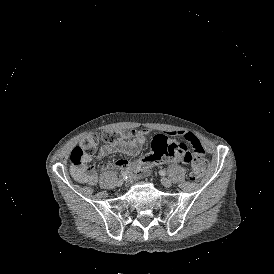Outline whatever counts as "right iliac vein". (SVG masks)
<instances>
[{"mask_svg":"<svg viewBox=\"0 0 274 274\" xmlns=\"http://www.w3.org/2000/svg\"><path fill=\"white\" fill-rule=\"evenodd\" d=\"M123 183H124L123 179L120 178V179L117 180V185L118 186L121 187L123 185Z\"/></svg>","mask_w":274,"mask_h":274,"instance_id":"63e3f726","label":"right iliac vein"}]
</instances>
